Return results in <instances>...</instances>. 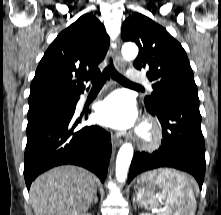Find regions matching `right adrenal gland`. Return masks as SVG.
<instances>
[{
	"label": "right adrenal gland",
	"instance_id": "2a0ac1e0",
	"mask_svg": "<svg viewBox=\"0 0 221 215\" xmlns=\"http://www.w3.org/2000/svg\"><path fill=\"white\" fill-rule=\"evenodd\" d=\"M97 202H98V197H97V191H96L95 194H94L92 204H97Z\"/></svg>",
	"mask_w": 221,
	"mask_h": 215
}]
</instances>
